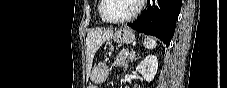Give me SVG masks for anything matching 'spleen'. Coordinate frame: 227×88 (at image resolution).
Wrapping results in <instances>:
<instances>
[{"instance_id": "3e777b00", "label": "spleen", "mask_w": 227, "mask_h": 88, "mask_svg": "<svg viewBox=\"0 0 227 88\" xmlns=\"http://www.w3.org/2000/svg\"><path fill=\"white\" fill-rule=\"evenodd\" d=\"M143 45L147 49H154L157 46L156 39L153 37H147L144 39Z\"/></svg>"}]
</instances>
